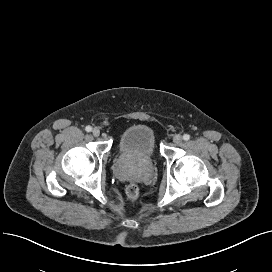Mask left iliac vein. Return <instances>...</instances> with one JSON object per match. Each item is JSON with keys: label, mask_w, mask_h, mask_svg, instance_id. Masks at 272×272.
I'll use <instances>...</instances> for the list:
<instances>
[{"label": "left iliac vein", "mask_w": 272, "mask_h": 272, "mask_svg": "<svg viewBox=\"0 0 272 272\" xmlns=\"http://www.w3.org/2000/svg\"><path fill=\"white\" fill-rule=\"evenodd\" d=\"M181 141H182V136H181V135L177 134V135H175V136L173 137V142H174L175 144H179Z\"/></svg>", "instance_id": "obj_1"}]
</instances>
